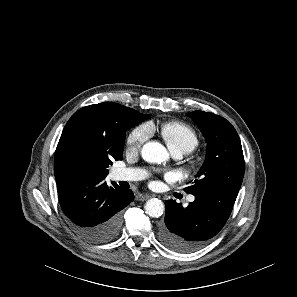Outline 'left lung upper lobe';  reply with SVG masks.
<instances>
[{"label": "left lung upper lobe", "mask_w": 297, "mask_h": 297, "mask_svg": "<svg viewBox=\"0 0 297 297\" xmlns=\"http://www.w3.org/2000/svg\"><path fill=\"white\" fill-rule=\"evenodd\" d=\"M187 115L204 135L207 154L193 185L184 191L194 196L217 192L238 194L244 176V157L235 128L212 113L193 111Z\"/></svg>", "instance_id": "5c2ea615"}]
</instances>
